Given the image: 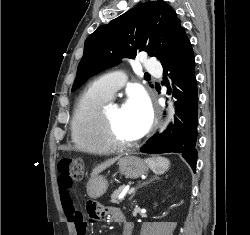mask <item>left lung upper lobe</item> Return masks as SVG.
Masks as SVG:
<instances>
[{
	"label": "left lung upper lobe",
	"instance_id": "obj_1",
	"mask_svg": "<svg viewBox=\"0 0 250 235\" xmlns=\"http://www.w3.org/2000/svg\"><path fill=\"white\" fill-rule=\"evenodd\" d=\"M181 29L180 19L164 1L143 3L99 26L85 41L72 91L89 77L123 58L134 59L139 52L164 61Z\"/></svg>",
	"mask_w": 250,
	"mask_h": 235
}]
</instances>
